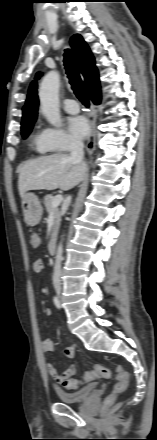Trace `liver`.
<instances>
[{
    "label": "liver",
    "instance_id": "6515ba94",
    "mask_svg": "<svg viewBox=\"0 0 157 440\" xmlns=\"http://www.w3.org/2000/svg\"><path fill=\"white\" fill-rule=\"evenodd\" d=\"M84 164H74L67 154H53L29 160L18 169V189L22 198L31 190L67 191L80 182L85 174Z\"/></svg>",
    "mask_w": 157,
    "mask_h": 440
}]
</instances>
